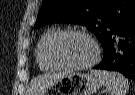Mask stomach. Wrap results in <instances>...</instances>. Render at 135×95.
<instances>
[{"instance_id": "obj_1", "label": "stomach", "mask_w": 135, "mask_h": 95, "mask_svg": "<svg viewBox=\"0 0 135 95\" xmlns=\"http://www.w3.org/2000/svg\"><path fill=\"white\" fill-rule=\"evenodd\" d=\"M101 86L97 76L73 72L51 83L39 95H94Z\"/></svg>"}]
</instances>
